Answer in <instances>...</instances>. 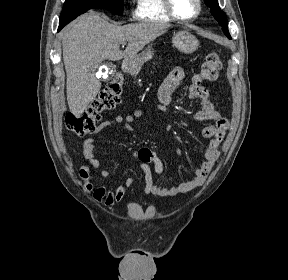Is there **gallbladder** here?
Segmentation results:
<instances>
[{"mask_svg":"<svg viewBox=\"0 0 288 280\" xmlns=\"http://www.w3.org/2000/svg\"><path fill=\"white\" fill-rule=\"evenodd\" d=\"M109 67L113 68V66L111 64H108Z\"/></svg>","mask_w":288,"mask_h":280,"instance_id":"obj_1","label":"gallbladder"}]
</instances>
